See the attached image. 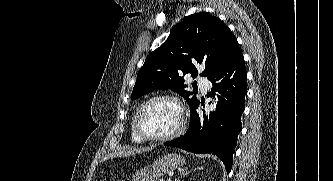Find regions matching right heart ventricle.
<instances>
[{
    "label": "right heart ventricle",
    "mask_w": 333,
    "mask_h": 181,
    "mask_svg": "<svg viewBox=\"0 0 333 181\" xmlns=\"http://www.w3.org/2000/svg\"><path fill=\"white\" fill-rule=\"evenodd\" d=\"M135 115H136V113H135ZM135 115H134V117H133V119H132V122H131V138H132V140H133L134 142H136V143H142V142H144V139L141 138V137L137 134V132L135 131V128H134V118H135Z\"/></svg>",
    "instance_id": "obj_1"
}]
</instances>
